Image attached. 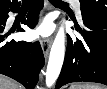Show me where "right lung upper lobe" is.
<instances>
[{
    "label": "right lung upper lobe",
    "instance_id": "cb5924a9",
    "mask_svg": "<svg viewBox=\"0 0 107 89\" xmlns=\"http://www.w3.org/2000/svg\"><path fill=\"white\" fill-rule=\"evenodd\" d=\"M18 3V0H0V9L8 7L10 4Z\"/></svg>",
    "mask_w": 107,
    "mask_h": 89
}]
</instances>
